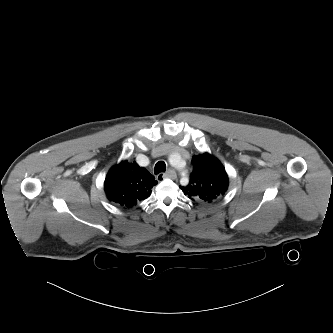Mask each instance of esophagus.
I'll list each match as a JSON object with an SVG mask.
<instances>
[{
	"mask_svg": "<svg viewBox=\"0 0 333 333\" xmlns=\"http://www.w3.org/2000/svg\"><path fill=\"white\" fill-rule=\"evenodd\" d=\"M156 178H157L158 181H161V180L166 179V178L174 180L176 178V173H175L174 170L169 169L166 173L158 174Z\"/></svg>",
	"mask_w": 333,
	"mask_h": 333,
	"instance_id": "esophagus-1",
	"label": "esophagus"
}]
</instances>
